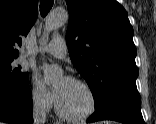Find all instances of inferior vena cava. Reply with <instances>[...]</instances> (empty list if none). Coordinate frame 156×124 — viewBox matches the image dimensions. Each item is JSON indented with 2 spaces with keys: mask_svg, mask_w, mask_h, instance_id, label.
Segmentation results:
<instances>
[{
  "mask_svg": "<svg viewBox=\"0 0 156 124\" xmlns=\"http://www.w3.org/2000/svg\"><path fill=\"white\" fill-rule=\"evenodd\" d=\"M46 112L45 97L43 95L35 94L33 96V123L45 124Z\"/></svg>",
  "mask_w": 156,
  "mask_h": 124,
  "instance_id": "obj_1",
  "label": "inferior vena cava"
}]
</instances>
